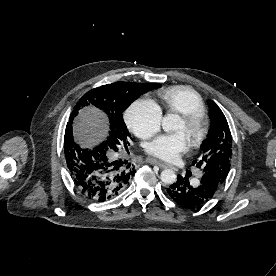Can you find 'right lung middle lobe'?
<instances>
[{"label": "right lung middle lobe", "mask_w": 276, "mask_h": 276, "mask_svg": "<svg viewBox=\"0 0 276 276\" xmlns=\"http://www.w3.org/2000/svg\"><path fill=\"white\" fill-rule=\"evenodd\" d=\"M160 86L159 83L116 82L94 88L77 102L70 116V122L80 109L93 105L104 111L110 121L109 135L101 143L102 147L108 150L114 146L127 145L130 134L123 121L124 110L139 96Z\"/></svg>", "instance_id": "right-lung-middle-lobe-1"}]
</instances>
